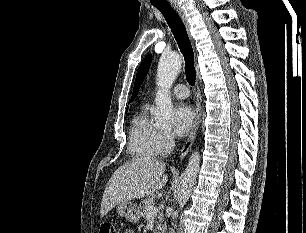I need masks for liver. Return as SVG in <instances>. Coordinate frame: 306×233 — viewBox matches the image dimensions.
Masks as SVG:
<instances>
[{"mask_svg":"<svg viewBox=\"0 0 306 233\" xmlns=\"http://www.w3.org/2000/svg\"><path fill=\"white\" fill-rule=\"evenodd\" d=\"M165 163L154 158H135L120 166L104 190L100 213L104 217L123 202L151 196L168 181Z\"/></svg>","mask_w":306,"mask_h":233,"instance_id":"liver-1","label":"liver"}]
</instances>
